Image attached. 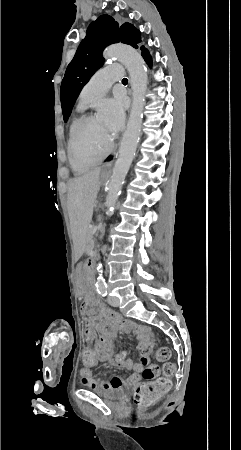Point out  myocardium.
I'll return each instance as SVG.
<instances>
[{
	"mask_svg": "<svg viewBox=\"0 0 241 450\" xmlns=\"http://www.w3.org/2000/svg\"><path fill=\"white\" fill-rule=\"evenodd\" d=\"M87 119H88V116H86V115L81 116L80 118H78L75 121V123L73 124V126L71 128V132H70L71 136L69 137L70 144H68L67 147H68V149L71 150V153H70V156L72 157L71 161L74 162V163L78 162V158H79V156L77 155V151L75 149V143H76L77 140H79L78 137L81 134V130L78 127H80L81 124L84 121H86Z\"/></svg>",
	"mask_w": 241,
	"mask_h": 450,
	"instance_id": "f54148a6",
	"label": "myocardium"
}]
</instances>
